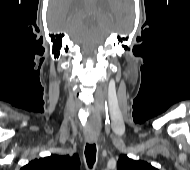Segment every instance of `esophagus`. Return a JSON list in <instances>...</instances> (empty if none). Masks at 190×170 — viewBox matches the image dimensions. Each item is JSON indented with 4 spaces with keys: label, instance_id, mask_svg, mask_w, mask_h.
Wrapping results in <instances>:
<instances>
[{
    "label": "esophagus",
    "instance_id": "esophagus-1",
    "mask_svg": "<svg viewBox=\"0 0 190 170\" xmlns=\"http://www.w3.org/2000/svg\"><path fill=\"white\" fill-rule=\"evenodd\" d=\"M85 139L88 143H91V144L97 141V137L95 135H88L86 136Z\"/></svg>",
    "mask_w": 190,
    "mask_h": 170
}]
</instances>
